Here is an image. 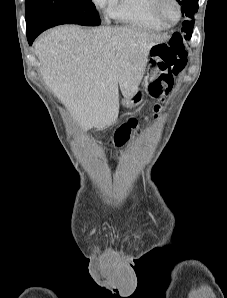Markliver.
I'll use <instances>...</instances> for the list:
<instances>
[{
	"instance_id": "1",
	"label": "liver",
	"mask_w": 227,
	"mask_h": 298,
	"mask_svg": "<svg viewBox=\"0 0 227 298\" xmlns=\"http://www.w3.org/2000/svg\"><path fill=\"white\" fill-rule=\"evenodd\" d=\"M169 39L127 27L63 25L40 36L35 53L43 80L87 131L117 120L118 85L124 97L132 96L151 48Z\"/></svg>"
}]
</instances>
